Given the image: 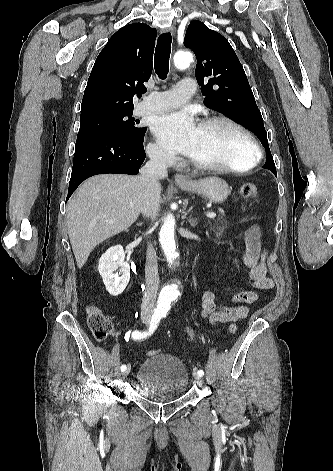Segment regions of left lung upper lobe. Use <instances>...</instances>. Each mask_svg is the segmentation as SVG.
Wrapping results in <instances>:
<instances>
[{"label": "left lung upper lobe", "mask_w": 333, "mask_h": 471, "mask_svg": "<svg viewBox=\"0 0 333 471\" xmlns=\"http://www.w3.org/2000/svg\"><path fill=\"white\" fill-rule=\"evenodd\" d=\"M184 45L197 57L196 79L205 96L204 103L250 129L264 146V168L277 176L263 118L244 69L228 40L204 23L189 24Z\"/></svg>", "instance_id": "obj_1"}]
</instances>
